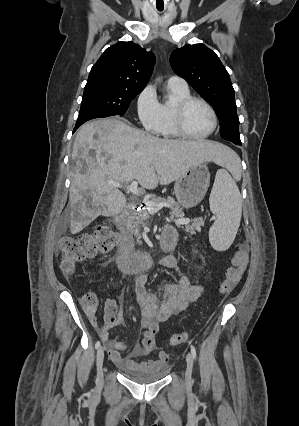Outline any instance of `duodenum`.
I'll list each match as a JSON object with an SVG mask.
<instances>
[{"instance_id":"duodenum-1","label":"duodenum","mask_w":299,"mask_h":426,"mask_svg":"<svg viewBox=\"0 0 299 426\" xmlns=\"http://www.w3.org/2000/svg\"><path fill=\"white\" fill-rule=\"evenodd\" d=\"M134 206L127 207L123 212L115 218V225L122 234L121 241L118 246L116 262L120 270L127 274H133L147 267L152 258L149 253L134 251L131 238L127 235L128 219ZM176 236L172 229L166 228L163 231L160 241V250L168 252L175 247Z\"/></svg>"}]
</instances>
